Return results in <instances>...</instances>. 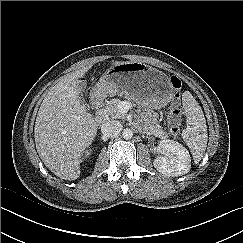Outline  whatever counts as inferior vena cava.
I'll list each match as a JSON object with an SVG mask.
<instances>
[{
  "label": "inferior vena cava",
  "mask_w": 243,
  "mask_h": 243,
  "mask_svg": "<svg viewBox=\"0 0 243 243\" xmlns=\"http://www.w3.org/2000/svg\"><path fill=\"white\" fill-rule=\"evenodd\" d=\"M123 129L122 124L118 120L108 121L101 126V132L104 136L115 137Z\"/></svg>",
  "instance_id": "inferior-vena-cava-1"
}]
</instances>
